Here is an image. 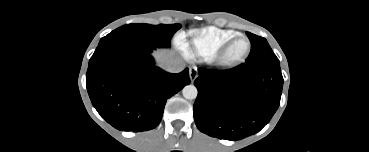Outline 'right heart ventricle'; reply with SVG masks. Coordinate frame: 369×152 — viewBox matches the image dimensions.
I'll list each match as a JSON object with an SVG mask.
<instances>
[{
  "label": "right heart ventricle",
  "mask_w": 369,
  "mask_h": 152,
  "mask_svg": "<svg viewBox=\"0 0 369 152\" xmlns=\"http://www.w3.org/2000/svg\"><path fill=\"white\" fill-rule=\"evenodd\" d=\"M239 33L217 27H205L190 31L184 36L182 45L198 58L209 60L214 58L221 46Z\"/></svg>",
  "instance_id": "1"
}]
</instances>
